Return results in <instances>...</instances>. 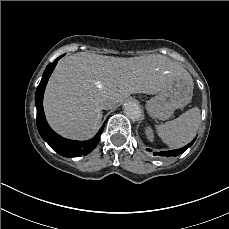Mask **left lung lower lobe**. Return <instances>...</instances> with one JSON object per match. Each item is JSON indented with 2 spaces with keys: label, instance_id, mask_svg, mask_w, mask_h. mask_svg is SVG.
Wrapping results in <instances>:
<instances>
[{
  "label": "left lung lower lobe",
  "instance_id": "1",
  "mask_svg": "<svg viewBox=\"0 0 229 229\" xmlns=\"http://www.w3.org/2000/svg\"><path fill=\"white\" fill-rule=\"evenodd\" d=\"M195 139H193L189 144H187L186 146L180 148V149H176V150H171V151H164V152H155L154 156L156 155H160V156H178L180 154H183L189 147L192 146V144L194 143ZM148 151H151L150 149H148Z\"/></svg>",
  "mask_w": 229,
  "mask_h": 229
}]
</instances>
